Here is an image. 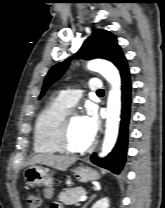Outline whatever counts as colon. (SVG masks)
<instances>
[{"label": "colon", "instance_id": "5ec220e1", "mask_svg": "<svg viewBox=\"0 0 165 208\" xmlns=\"http://www.w3.org/2000/svg\"><path fill=\"white\" fill-rule=\"evenodd\" d=\"M29 208H39L40 207V198L35 194H29L26 198Z\"/></svg>", "mask_w": 165, "mask_h": 208}]
</instances>
